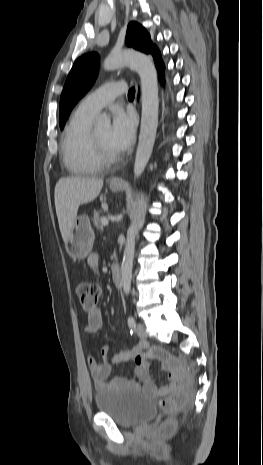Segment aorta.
I'll use <instances>...</instances> for the list:
<instances>
[{
	"instance_id": "762f6f07",
	"label": "aorta",
	"mask_w": 263,
	"mask_h": 465,
	"mask_svg": "<svg viewBox=\"0 0 263 465\" xmlns=\"http://www.w3.org/2000/svg\"><path fill=\"white\" fill-rule=\"evenodd\" d=\"M123 66H128L135 70L139 74L141 81V126L134 162V177L139 178L150 159L156 138L159 111L157 71L149 56L133 50L111 52L103 63L105 70H114ZM96 122L98 126L107 127L110 125V119L106 114L100 115ZM136 235L137 226L132 217L131 224L127 230L121 264V286L126 295L129 294L131 288Z\"/></svg>"
}]
</instances>
